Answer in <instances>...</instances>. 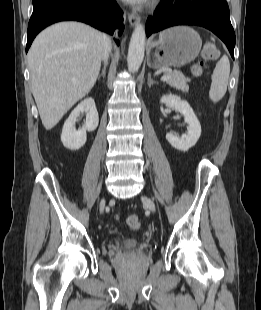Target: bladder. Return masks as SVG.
I'll return each instance as SVG.
<instances>
[{
  "label": "bladder",
  "instance_id": "bladder-1",
  "mask_svg": "<svg viewBox=\"0 0 261 310\" xmlns=\"http://www.w3.org/2000/svg\"><path fill=\"white\" fill-rule=\"evenodd\" d=\"M140 244L139 240L136 238H125L122 241V245L126 248L133 249L136 248Z\"/></svg>",
  "mask_w": 261,
  "mask_h": 310
}]
</instances>
